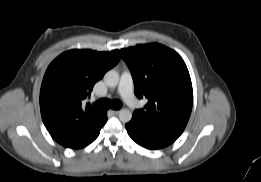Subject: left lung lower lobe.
<instances>
[{
    "mask_svg": "<svg viewBox=\"0 0 261 182\" xmlns=\"http://www.w3.org/2000/svg\"><path fill=\"white\" fill-rule=\"evenodd\" d=\"M129 136L147 149H160L173 143L179 136L148 130L140 127L134 120L125 125Z\"/></svg>",
    "mask_w": 261,
    "mask_h": 182,
    "instance_id": "0a47b994",
    "label": "left lung lower lobe"
}]
</instances>
